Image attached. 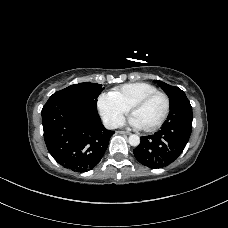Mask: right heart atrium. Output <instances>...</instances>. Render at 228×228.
I'll return each mask as SVG.
<instances>
[{"label":"right heart atrium","instance_id":"1","mask_svg":"<svg viewBox=\"0 0 228 228\" xmlns=\"http://www.w3.org/2000/svg\"><path fill=\"white\" fill-rule=\"evenodd\" d=\"M97 108L108 127H115L128 112V108L123 106L111 92L101 93L97 99Z\"/></svg>","mask_w":228,"mask_h":228}]
</instances>
